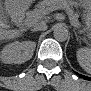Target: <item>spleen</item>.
<instances>
[{
    "label": "spleen",
    "mask_w": 91,
    "mask_h": 91,
    "mask_svg": "<svg viewBox=\"0 0 91 91\" xmlns=\"http://www.w3.org/2000/svg\"><path fill=\"white\" fill-rule=\"evenodd\" d=\"M77 60L80 66L87 72L91 70V50L89 48H80L77 50Z\"/></svg>",
    "instance_id": "spleen-1"
}]
</instances>
